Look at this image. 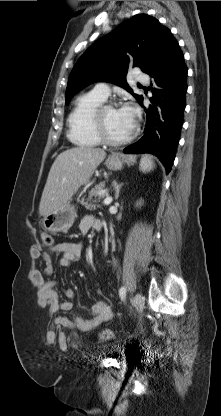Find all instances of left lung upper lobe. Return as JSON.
<instances>
[{"mask_svg": "<svg viewBox=\"0 0 221 416\" xmlns=\"http://www.w3.org/2000/svg\"><path fill=\"white\" fill-rule=\"evenodd\" d=\"M168 30L156 18L138 14L97 40L83 53L71 71L66 104L81 89L95 81L113 82L140 102L143 96L133 93L126 81L127 71L131 67H139L146 72Z\"/></svg>", "mask_w": 221, "mask_h": 416, "instance_id": "left-lung-upper-lobe-1", "label": "left lung upper lobe"}]
</instances>
